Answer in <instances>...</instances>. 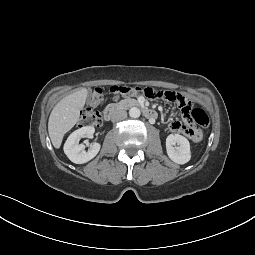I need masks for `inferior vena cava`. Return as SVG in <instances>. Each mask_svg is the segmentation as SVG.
I'll list each match as a JSON object with an SVG mask.
<instances>
[{"instance_id": "obj_1", "label": "inferior vena cava", "mask_w": 255, "mask_h": 255, "mask_svg": "<svg viewBox=\"0 0 255 255\" xmlns=\"http://www.w3.org/2000/svg\"><path fill=\"white\" fill-rule=\"evenodd\" d=\"M126 118H127V112L122 109L115 110L111 116V120L113 122H118V121L124 120Z\"/></svg>"}]
</instances>
